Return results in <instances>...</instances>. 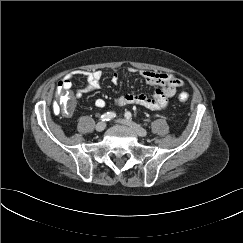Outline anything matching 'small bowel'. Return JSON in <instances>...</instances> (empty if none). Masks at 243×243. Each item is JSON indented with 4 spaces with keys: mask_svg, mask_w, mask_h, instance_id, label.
<instances>
[{
    "mask_svg": "<svg viewBox=\"0 0 243 243\" xmlns=\"http://www.w3.org/2000/svg\"><path fill=\"white\" fill-rule=\"evenodd\" d=\"M75 75L84 77L87 80V85L75 92V98L80 99L85 93L100 88L103 73L100 70H94L77 71L74 74L65 76L59 82L64 90L72 88ZM140 75L149 87L154 88L153 94L150 96L146 94H121L115 99L118 105L137 104L150 110H161L167 106L169 99L174 96L176 90L183 85V81L180 78L170 73L143 70L140 71ZM111 80L115 85L119 83L117 71L113 72ZM105 104V100L102 98H98L95 101V106L98 108H103Z\"/></svg>",
    "mask_w": 243,
    "mask_h": 243,
    "instance_id": "1",
    "label": "small bowel"
}]
</instances>
